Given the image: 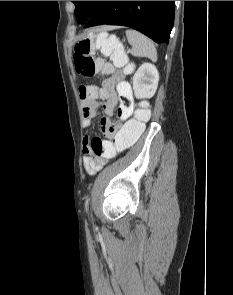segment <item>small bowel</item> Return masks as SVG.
<instances>
[{
  "mask_svg": "<svg viewBox=\"0 0 233 295\" xmlns=\"http://www.w3.org/2000/svg\"><path fill=\"white\" fill-rule=\"evenodd\" d=\"M82 116L85 126H90L97 115L99 107L103 108L107 117L101 120V129L106 133L109 127L119 128L121 123L128 120L134 111L132 88L120 74L105 81L99 95L81 99ZM117 111L118 120L113 121L111 116ZM90 137L84 141L83 166L89 175H95L107 163L108 158L94 155L89 146Z\"/></svg>",
  "mask_w": 233,
  "mask_h": 295,
  "instance_id": "obj_1",
  "label": "small bowel"
}]
</instances>
